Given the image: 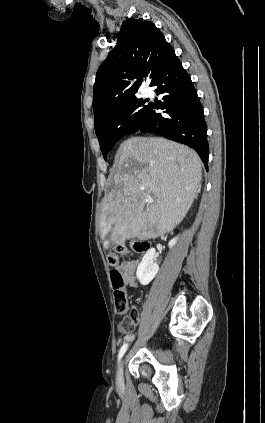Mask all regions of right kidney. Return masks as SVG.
Masks as SVG:
<instances>
[{"label": "right kidney", "mask_w": 265, "mask_h": 423, "mask_svg": "<svg viewBox=\"0 0 265 423\" xmlns=\"http://www.w3.org/2000/svg\"><path fill=\"white\" fill-rule=\"evenodd\" d=\"M177 239L175 237L169 242V248H172L176 244ZM155 254L156 251L154 248L149 249L137 268L136 276L141 285H148L158 273L159 267L154 263Z\"/></svg>", "instance_id": "1"}]
</instances>
